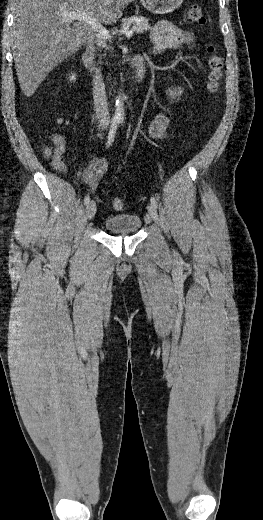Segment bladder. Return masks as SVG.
I'll return each mask as SVG.
<instances>
[{
	"label": "bladder",
	"mask_w": 263,
	"mask_h": 520,
	"mask_svg": "<svg viewBox=\"0 0 263 520\" xmlns=\"http://www.w3.org/2000/svg\"><path fill=\"white\" fill-rule=\"evenodd\" d=\"M104 229L111 234H133L142 226L141 217L135 213L109 215L104 219Z\"/></svg>",
	"instance_id": "1"
}]
</instances>
